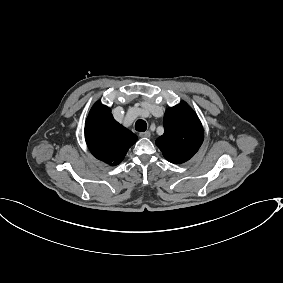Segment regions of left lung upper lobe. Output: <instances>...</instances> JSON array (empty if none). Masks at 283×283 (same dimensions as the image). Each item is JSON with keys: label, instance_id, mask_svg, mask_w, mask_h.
Returning <instances> with one entry per match:
<instances>
[{"label": "left lung upper lobe", "instance_id": "1", "mask_svg": "<svg viewBox=\"0 0 283 283\" xmlns=\"http://www.w3.org/2000/svg\"><path fill=\"white\" fill-rule=\"evenodd\" d=\"M164 134L157 138L156 145L171 163L188 161L200 148L204 131L196 113L182 101L166 110Z\"/></svg>", "mask_w": 283, "mask_h": 283}]
</instances>
